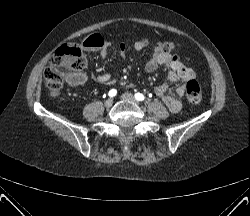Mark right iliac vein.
<instances>
[{
	"label": "right iliac vein",
	"instance_id": "63e3f726",
	"mask_svg": "<svg viewBox=\"0 0 250 216\" xmlns=\"http://www.w3.org/2000/svg\"><path fill=\"white\" fill-rule=\"evenodd\" d=\"M112 104H113L112 98L107 99L104 103L105 107H107V108H110L112 106Z\"/></svg>",
	"mask_w": 250,
	"mask_h": 216
}]
</instances>
